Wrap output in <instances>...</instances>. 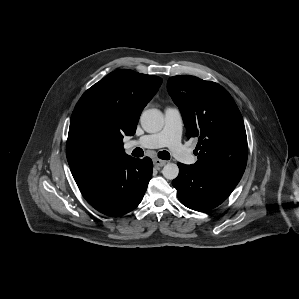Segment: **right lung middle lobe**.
Returning a JSON list of instances; mask_svg holds the SVG:
<instances>
[{"label":"right lung middle lobe","instance_id":"1","mask_svg":"<svg viewBox=\"0 0 299 299\" xmlns=\"http://www.w3.org/2000/svg\"><path fill=\"white\" fill-rule=\"evenodd\" d=\"M112 133L105 116L95 108L72 114L66 154L70 166L91 165L111 143Z\"/></svg>","mask_w":299,"mask_h":299}]
</instances>
